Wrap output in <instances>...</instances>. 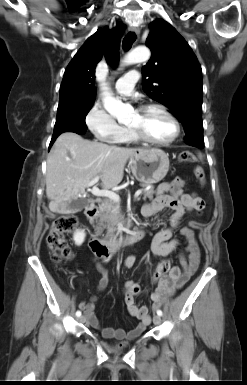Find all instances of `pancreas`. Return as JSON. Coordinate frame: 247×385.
I'll list each match as a JSON object with an SVG mask.
<instances>
[{"label":"pancreas","mask_w":247,"mask_h":385,"mask_svg":"<svg viewBox=\"0 0 247 385\" xmlns=\"http://www.w3.org/2000/svg\"><path fill=\"white\" fill-rule=\"evenodd\" d=\"M154 188L143 190V200L153 199ZM99 225L108 229V234L113 235L117 231V224L122 218L120 206L112 200H105L100 206Z\"/></svg>","instance_id":"1"}]
</instances>
